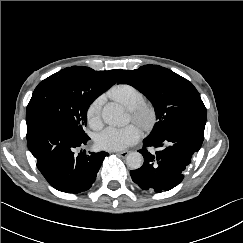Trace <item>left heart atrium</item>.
Listing matches in <instances>:
<instances>
[{
	"label": "left heart atrium",
	"mask_w": 243,
	"mask_h": 243,
	"mask_svg": "<svg viewBox=\"0 0 243 243\" xmlns=\"http://www.w3.org/2000/svg\"><path fill=\"white\" fill-rule=\"evenodd\" d=\"M141 137V130L136 124L124 127H108L98 134L97 145L105 150H123L136 143Z\"/></svg>",
	"instance_id": "39dd6f15"
}]
</instances>
